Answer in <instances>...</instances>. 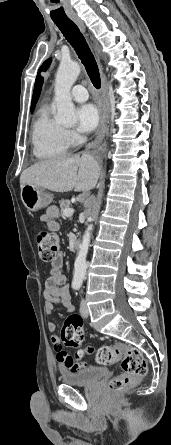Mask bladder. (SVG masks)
<instances>
[{"mask_svg":"<svg viewBox=\"0 0 171 445\" xmlns=\"http://www.w3.org/2000/svg\"><path fill=\"white\" fill-rule=\"evenodd\" d=\"M108 374V370L104 368L86 366L74 371H63L61 379L64 384L89 386Z\"/></svg>","mask_w":171,"mask_h":445,"instance_id":"obj_1","label":"bladder"}]
</instances>
